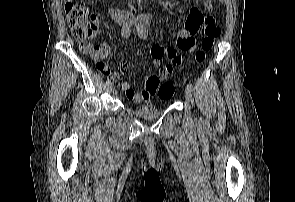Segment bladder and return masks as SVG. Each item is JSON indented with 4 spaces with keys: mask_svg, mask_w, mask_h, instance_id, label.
<instances>
[{
    "mask_svg": "<svg viewBox=\"0 0 295 202\" xmlns=\"http://www.w3.org/2000/svg\"><path fill=\"white\" fill-rule=\"evenodd\" d=\"M159 114V108L152 102H147L134 110V115L143 120L155 119Z\"/></svg>",
    "mask_w": 295,
    "mask_h": 202,
    "instance_id": "bladder-1",
    "label": "bladder"
}]
</instances>
